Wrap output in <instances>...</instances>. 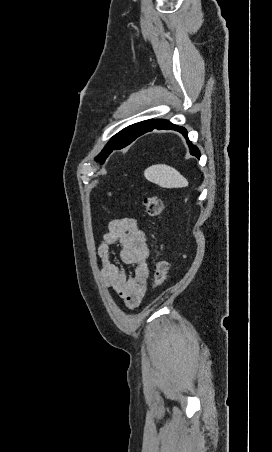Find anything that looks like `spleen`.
Wrapping results in <instances>:
<instances>
[{"mask_svg": "<svg viewBox=\"0 0 272 452\" xmlns=\"http://www.w3.org/2000/svg\"><path fill=\"white\" fill-rule=\"evenodd\" d=\"M144 176L148 181L164 188H182L188 185L187 179L180 172L165 164L148 167Z\"/></svg>", "mask_w": 272, "mask_h": 452, "instance_id": "3e777b00", "label": "spleen"}]
</instances>
